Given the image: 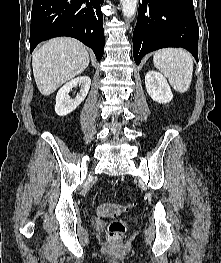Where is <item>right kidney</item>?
<instances>
[{
    "instance_id": "right-kidney-1",
    "label": "right kidney",
    "mask_w": 221,
    "mask_h": 263,
    "mask_svg": "<svg viewBox=\"0 0 221 263\" xmlns=\"http://www.w3.org/2000/svg\"><path fill=\"white\" fill-rule=\"evenodd\" d=\"M80 87V92L74 99H71L69 92L76 86ZM91 79L88 76H81L67 82L61 87L56 95L55 112L59 116H65L74 111L86 98L90 89Z\"/></svg>"
}]
</instances>
